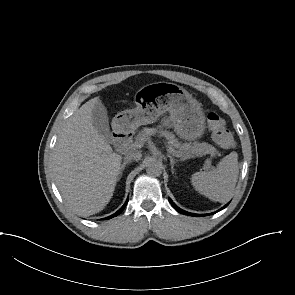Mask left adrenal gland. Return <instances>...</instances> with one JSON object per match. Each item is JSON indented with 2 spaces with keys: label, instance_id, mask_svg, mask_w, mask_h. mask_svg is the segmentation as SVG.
<instances>
[{
  "label": "left adrenal gland",
  "instance_id": "obj_1",
  "mask_svg": "<svg viewBox=\"0 0 295 295\" xmlns=\"http://www.w3.org/2000/svg\"><path fill=\"white\" fill-rule=\"evenodd\" d=\"M168 157H169V159H170L171 172H172V174H174V165H175L176 161H175V159H174L171 155H169V154H168Z\"/></svg>",
  "mask_w": 295,
  "mask_h": 295
}]
</instances>
